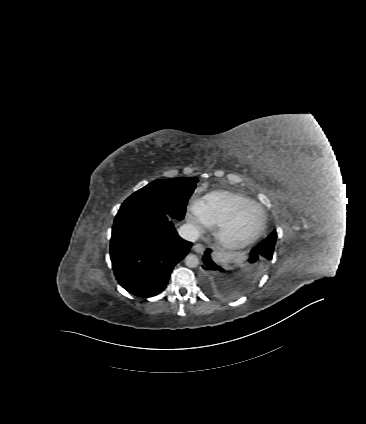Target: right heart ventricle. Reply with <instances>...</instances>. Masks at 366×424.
<instances>
[{
  "label": "right heart ventricle",
  "instance_id": "e07e8e85",
  "mask_svg": "<svg viewBox=\"0 0 366 424\" xmlns=\"http://www.w3.org/2000/svg\"><path fill=\"white\" fill-rule=\"evenodd\" d=\"M255 203L248 196L232 191H214L201 201L200 214L208 226H217L226 220L238 207Z\"/></svg>",
  "mask_w": 366,
  "mask_h": 424
}]
</instances>
